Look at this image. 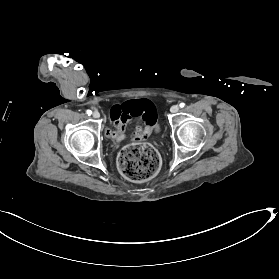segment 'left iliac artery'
I'll return each instance as SVG.
<instances>
[{
    "label": "left iliac artery",
    "instance_id": "obj_1",
    "mask_svg": "<svg viewBox=\"0 0 279 279\" xmlns=\"http://www.w3.org/2000/svg\"><path fill=\"white\" fill-rule=\"evenodd\" d=\"M181 108H183L184 106H185V104L184 103H180V105H179Z\"/></svg>",
    "mask_w": 279,
    "mask_h": 279
}]
</instances>
